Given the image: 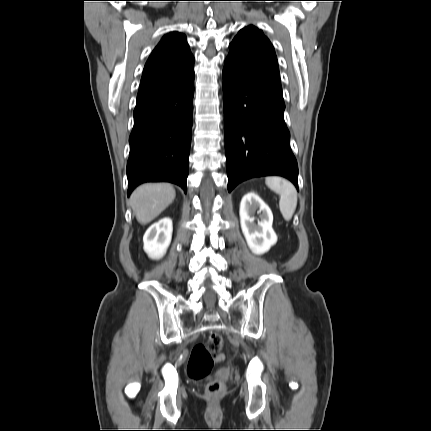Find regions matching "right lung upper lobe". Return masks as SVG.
<instances>
[{
	"label": "right lung upper lobe",
	"instance_id": "1",
	"mask_svg": "<svg viewBox=\"0 0 431 431\" xmlns=\"http://www.w3.org/2000/svg\"><path fill=\"white\" fill-rule=\"evenodd\" d=\"M194 77V57L183 34L165 35L143 70L136 106L162 98Z\"/></svg>",
	"mask_w": 431,
	"mask_h": 431
}]
</instances>
